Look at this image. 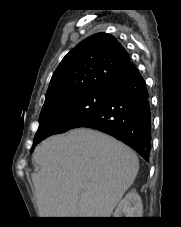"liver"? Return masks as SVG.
I'll return each instance as SVG.
<instances>
[{
    "label": "liver",
    "instance_id": "6515ba94",
    "mask_svg": "<svg viewBox=\"0 0 181 227\" xmlns=\"http://www.w3.org/2000/svg\"><path fill=\"white\" fill-rule=\"evenodd\" d=\"M33 160L41 217H110L139 171L131 148L88 128L47 138Z\"/></svg>",
    "mask_w": 181,
    "mask_h": 227
}]
</instances>
